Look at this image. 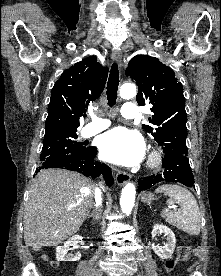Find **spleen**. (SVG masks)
I'll list each match as a JSON object with an SVG mask.
<instances>
[{
  "instance_id": "spleen-1",
  "label": "spleen",
  "mask_w": 221,
  "mask_h": 276,
  "mask_svg": "<svg viewBox=\"0 0 221 276\" xmlns=\"http://www.w3.org/2000/svg\"><path fill=\"white\" fill-rule=\"evenodd\" d=\"M156 193H164L180 205L179 211L164 209L161 217L166 222L190 235L200 233L201 215L199 206L193 194L179 185L165 184L159 186Z\"/></svg>"
}]
</instances>
